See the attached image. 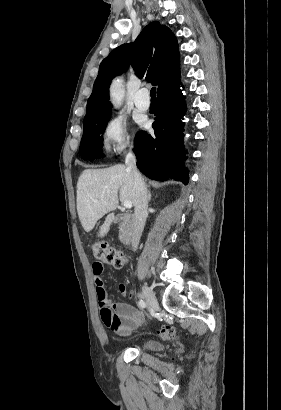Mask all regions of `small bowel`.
Returning <instances> with one entry per match:
<instances>
[{
    "label": "small bowel",
    "instance_id": "1",
    "mask_svg": "<svg viewBox=\"0 0 281 410\" xmlns=\"http://www.w3.org/2000/svg\"><path fill=\"white\" fill-rule=\"evenodd\" d=\"M104 269L105 266L100 261H95L92 265L98 306L101 309L102 315L104 312H110L118 317L121 324L112 331L118 336H126L143 321L144 315L140 310L128 303H113L111 301L102 279ZM119 291L124 296L128 294L124 284L119 286Z\"/></svg>",
    "mask_w": 281,
    "mask_h": 410
}]
</instances>
